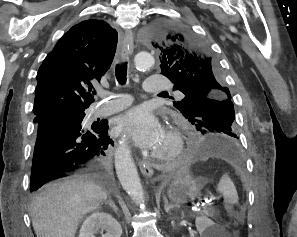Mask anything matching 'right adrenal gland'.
I'll return each mask as SVG.
<instances>
[{
    "mask_svg": "<svg viewBox=\"0 0 297 237\" xmlns=\"http://www.w3.org/2000/svg\"><path fill=\"white\" fill-rule=\"evenodd\" d=\"M106 204H108L113 210L118 214V208L115 205L114 201L109 197V199L106 201Z\"/></svg>",
    "mask_w": 297,
    "mask_h": 237,
    "instance_id": "right-adrenal-gland-1",
    "label": "right adrenal gland"
}]
</instances>
